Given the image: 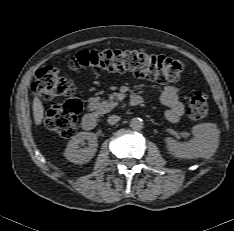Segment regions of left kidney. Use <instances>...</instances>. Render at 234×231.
Wrapping results in <instances>:
<instances>
[{"mask_svg": "<svg viewBox=\"0 0 234 231\" xmlns=\"http://www.w3.org/2000/svg\"><path fill=\"white\" fill-rule=\"evenodd\" d=\"M194 138L187 143H180L172 138H166L167 149L171 155L180 159L208 158L218 146L220 130L216 124L202 123L192 127Z\"/></svg>", "mask_w": 234, "mask_h": 231, "instance_id": "1", "label": "left kidney"}]
</instances>
